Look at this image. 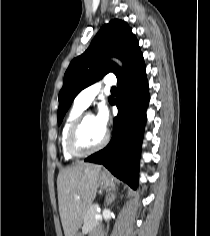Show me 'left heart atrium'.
<instances>
[{
  "instance_id": "39dd6f15",
  "label": "left heart atrium",
  "mask_w": 210,
  "mask_h": 236,
  "mask_svg": "<svg viewBox=\"0 0 210 236\" xmlns=\"http://www.w3.org/2000/svg\"><path fill=\"white\" fill-rule=\"evenodd\" d=\"M94 120L101 129L106 131L110 117L109 111L105 105H101L99 107L97 114L94 116Z\"/></svg>"
}]
</instances>
